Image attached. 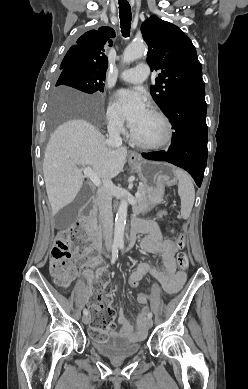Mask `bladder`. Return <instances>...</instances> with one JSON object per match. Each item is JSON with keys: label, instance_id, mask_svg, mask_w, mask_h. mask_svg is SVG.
Instances as JSON below:
<instances>
[{"label": "bladder", "instance_id": "bladder-1", "mask_svg": "<svg viewBox=\"0 0 248 389\" xmlns=\"http://www.w3.org/2000/svg\"><path fill=\"white\" fill-rule=\"evenodd\" d=\"M91 344L98 353L111 359L134 356L142 349L141 344L133 343L131 340L120 336H112L104 340L93 337Z\"/></svg>", "mask_w": 248, "mask_h": 389}]
</instances>
